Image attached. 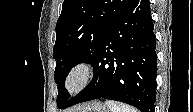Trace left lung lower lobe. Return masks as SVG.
Instances as JSON below:
<instances>
[{
  "label": "left lung lower lobe",
  "mask_w": 193,
  "mask_h": 112,
  "mask_svg": "<svg viewBox=\"0 0 193 112\" xmlns=\"http://www.w3.org/2000/svg\"><path fill=\"white\" fill-rule=\"evenodd\" d=\"M156 39L149 0H133L115 21L93 59L92 81L61 109L99 98L154 112Z\"/></svg>",
  "instance_id": "left-lung-lower-lobe-1"
}]
</instances>
